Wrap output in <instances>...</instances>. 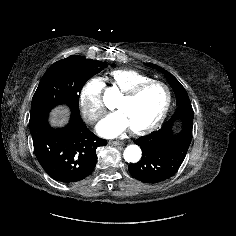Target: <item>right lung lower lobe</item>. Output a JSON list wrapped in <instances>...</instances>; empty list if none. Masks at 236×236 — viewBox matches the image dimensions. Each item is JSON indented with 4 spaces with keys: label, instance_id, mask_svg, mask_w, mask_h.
<instances>
[{
    "label": "right lung lower lobe",
    "instance_id": "98d812e1",
    "mask_svg": "<svg viewBox=\"0 0 236 236\" xmlns=\"http://www.w3.org/2000/svg\"><path fill=\"white\" fill-rule=\"evenodd\" d=\"M34 153L45 172L62 183L77 182L93 171L96 149L107 141L94 135L80 116L71 115L68 125L53 128L48 114L30 116Z\"/></svg>",
    "mask_w": 236,
    "mask_h": 236
}]
</instances>
